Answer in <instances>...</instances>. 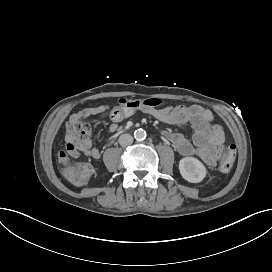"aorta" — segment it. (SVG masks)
Returning a JSON list of instances; mask_svg holds the SVG:
<instances>
[{
	"instance_id": "obj_1",
	"label": "aorta",
	"mask_w": 272,
	"mask_h": 272,
	"mask_svg": "<svg viewBox=\"0 0 272 272\" xmlns=\"http://www.w3.org/2000/svg\"><path fill=\"white\" fill-rule=\"evenodd\" d=\"M134 137L138 140H144L147 137L146 131L142 128L135 130Z\"/></svg>"
}]
</instances>
